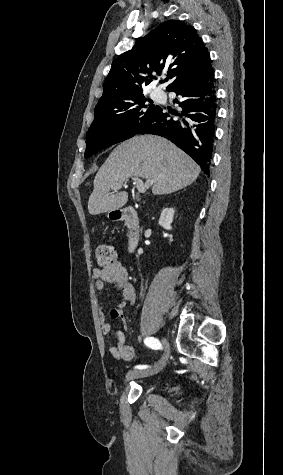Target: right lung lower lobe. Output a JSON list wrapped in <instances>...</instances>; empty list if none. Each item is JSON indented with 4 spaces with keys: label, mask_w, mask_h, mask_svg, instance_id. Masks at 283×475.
<instances>
[{
    "label": "right lung lower lobe",
    "mask_w": 283,
    "mask_h": 475,
    "mask_svg": "<svg viewBox=\"0 0 283 475\" xmlns=\"http://www.w3.org/2000/svg\"><path fill=\"white\" fill-rule=\"evenodd\" d=\"M168 91L178 95L174 102L182 108L180 113L160 108L137 134H156L171 140L209 175L217 118L214 70L181 81Z\"/></svg>",
    "instance_id": "1"
}]
</instances>
